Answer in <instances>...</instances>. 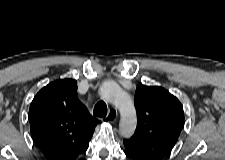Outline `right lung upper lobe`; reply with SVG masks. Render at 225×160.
Segmentation results:
<instances>
[{
	"mask_svg": "<svg viewBox=\"0 0 225 160\" xmlns=\"http://www.w3.org/2000/svg\"><path fill=\"white\" fill-rule=\"evenodd\" d=\"M29 121L35 143L50 160L79 159L100 122L78 100L73 79L57 80L42 88L31 103Z\"/></svg>",
	"mask_w": 225,
	"mask_h": 160,
	"instance_id": "obj_1",
	"label": "right lung upper lobe"
}]
</instances>
